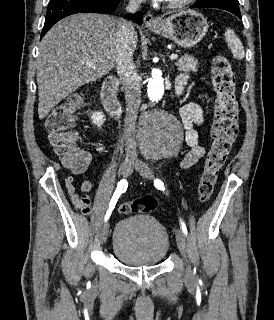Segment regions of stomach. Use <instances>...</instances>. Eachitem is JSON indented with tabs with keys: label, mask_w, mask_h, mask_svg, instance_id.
<instances>
[{
	"label": "stomach",
	"mask_w": 274,
	"mask_h": 320,
	"mask_svg": "<svg viewBox=\"0 0 274 320\" xmlns=\"http://www.w3.org/2000/svg\"><path fill=\"white\" fill-rule=\"evenodd\" d=\"M160 20L163 26H152L148 30L158 36L173 40L183 48H194L208 32L206 18L194 10L178 12L168 18H160Z\"/></svg>",
	"instance_id": "1"
}]
</instances>
